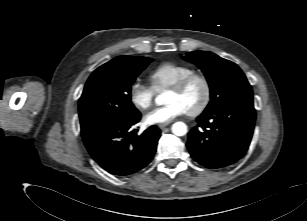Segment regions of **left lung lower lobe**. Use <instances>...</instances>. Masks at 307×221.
Here are the masks:
<instances>
[{
  "instance_id": "left-lung-lower-lobe-1",
  "label": "left lung lower lobe",
  "mask_w": 307,
  "mask_h": 221,
  "mask_svg": "<svg viewBox=\"0 0 307 221\" xmlns=\"http://www.w3.org/2000/svg\"><path fill=\"white\" fill-rule=\"evenodd\" d=\"M256 113L253 103L238 102L203 112L188 133L187 148L204 167L224 168L237 162L248 150Z\"/></svg>"
}]
</instances>
